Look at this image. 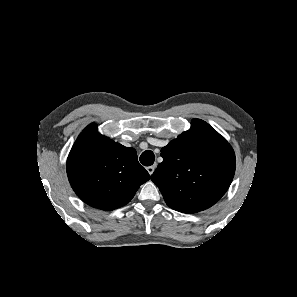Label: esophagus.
I'll return each instance as SVG.
<instances>
[{
    "instance_id": "34e87169",
    "label": "esophagus",
    "mask_w": 297,
    "mask_h": 297,
    "mask_svg": "<svg viewBox=\"0 0 297 297\" xmlns=\"http://www.w3.org/2000/svg\"><path fill=\"white\" fill-rule=\"evenodd\" d=\"M146 170L148 171V173H149L150 175H152L153 172H154V170H155V166H148V167L146 168Z\"/></svg>"
}]
</instances>
